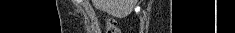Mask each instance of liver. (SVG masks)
<instances>
[{"label": "liver", "mask_w": 235, "mask_h": 33, "mask_svg": "<svg viewBox=\"0 0 235 33\" xmlns=\"http://www.w3.org/2000/svg\"><path fill=\"white\" fill-rule=\"evenodd\" d=\"M96 9L107 12L116 17L129 15L137 1L136 0H92Z\"/></svg>", "instance_id": "obj_1"}]
</instances>
